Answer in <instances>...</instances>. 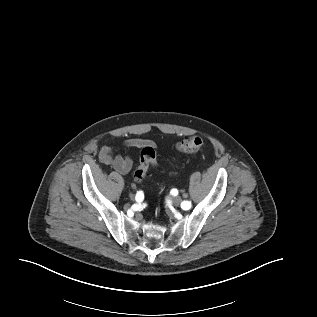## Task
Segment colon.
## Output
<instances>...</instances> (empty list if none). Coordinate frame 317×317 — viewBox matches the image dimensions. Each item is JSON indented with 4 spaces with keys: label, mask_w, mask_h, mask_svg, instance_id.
<instances>
[{
    "label": "colon",
    "mask_w": 317,
    "mask_h": 317,
    "mask_svg": "<svg viewBox=\"0 0 317 317\" xmlns=\"http://www.w3.org/2000/svg\"><path fill=\"white\" fill-rule=\"evenodd\" d=\"M202 145V140L198 136H187L179 143L176 148L183 153H195ZM157 164L156 152L151 146H145L140 152L139 165L134 173V179L141 182L145 179L149 167Z\"/></svg>",
    "instance_id": "obj_1"
}]
</instances>
